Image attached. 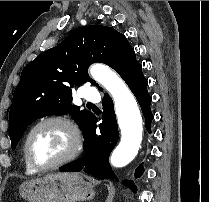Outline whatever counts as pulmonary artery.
<instances>
[{
    "label": "pulmonary artery",
    "instance_id": "1",
    "mask_svg": "<svg viewBox=\"0 0 209 202\" xmlns=\"http://www.w3.org/2000/svg\"><path fill=\"white\" fill-rule=\"evenodd\" d=\"M83 98L86 101L93 103H99L100 102V94L96 89L93 88H85L83 92Z\"/></svg>",
    "mask_w": 209,
    "mask_h": 202
}]
</instances>
